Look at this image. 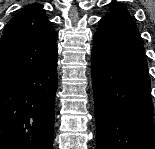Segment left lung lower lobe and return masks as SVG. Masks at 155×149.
Here are the masks:
<instances>
[{
	"label": "left lung lower lobe",
	"mask_w": 155,
	"mask_h": 149,
	"mask_svg": "<svg viewBox=\"0 0 155 149\" xmlns=\"http://www.w3.org/2000/svg\"><path fill=\"white\" fill-rule=\"evenodd\" d=\"M97 149H155L144 47L129 13L99 21L91 54Z\"/></svg>",
	"instance_id": "left-lung-lower-lobe-1"
}]
</instances>
